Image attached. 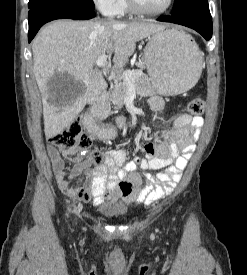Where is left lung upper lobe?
Returning a JSON list of instances; mask_svg holds the SVG:
<instances>
[{
  "instance_id": "5c2ea615",
  "label": "left lung upper lobe",
  "mask_w": 247,
  "mask_h": 275,
  "mask_svg": "<svg viewBox=\"0 0 247 275\" xmlns=\"http://www.w3.org/2000/svg\"><path fill=\"white\" fill-rule=\"evenodd\" d=\"M204 9H209L207 0H174L171 15L178 16Z\"/></svg>"
}]
</instances>
